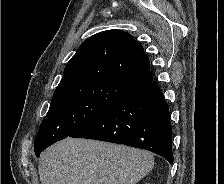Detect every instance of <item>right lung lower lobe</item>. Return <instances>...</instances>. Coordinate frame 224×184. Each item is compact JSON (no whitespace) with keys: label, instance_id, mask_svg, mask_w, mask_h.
I'll use <instances>...</instances> for the list:
<instances>
[{"label":"right lung lower lobe","instance_id":"right-lung-lower-lobe-1","mask_svg":"<svg viewBox=\"0 0 224 184\" xmlns=\"http://www.w3.org/2000/svg\"><path fill=\"white\" fill-rule=\"evenodd\" d=\"M69 137L146 149L173 162L169 108L153 80L130 88L101 115Z\"/></svg>","mask_w":224,"mask_h":184}]
</instances>
